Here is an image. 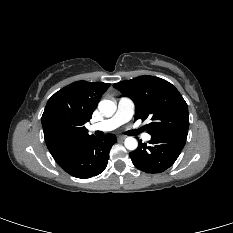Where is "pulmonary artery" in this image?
Here are the masks:
<instances>
[{
  "mask_svg": "<svg viewBox=\"0 0 233 233\" xmlns=\"http://www.w3.org/2000/svg\"><path fill=\"white\" fill-rule=\"evenodd\" d=\"M134 114V103L131 99L127 97H122L118 101V107L116 113L109 119L103 120L101 122L92 124L90 130L92 131H112L118 128L120 125L128 122ZM142 139L149 141L151 135L144 133Z\"/></svg>",
  "mask_w": 233,
  "mask_h": 233,
  "instance_id": "obj_1",
  "label": "pulmonary artery"
}]
</instances>
